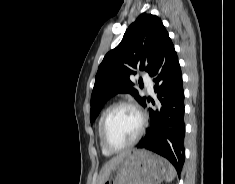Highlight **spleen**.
<instances>
[{
    "mask_svg": "<svg viewBox=\"0 0 235 184\" xmlns=\"http://www.w3.org/2000/svg\"><path fill=\"white\" fill-rule=\"evenodd\" d=\"M175 176H176V170L175 168H173L172 164H169L168 162V170L165 178L166 182H172Z\"/></svg>",
    "mask_w": 235,
    "mask_h": 184,
    "instance_id": "spleen-1",
    "label": "spleen"
}]
</instances>
